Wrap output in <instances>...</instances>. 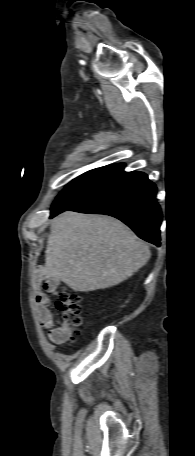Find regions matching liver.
<instances>
[{
  "instance_id": "6515ba94",
  "label": "liver",
  "mask_w": 195,
  "mask_h": 456,
  "mask_svg": "<svg viewBox=\"0 0 195 456\" xmlns=\"http://www.w3.org/2000/svg\"><path fill=\"white\" fill-rule=\"evenodd\" d=\"M149 258L148 245L121 221L67 211L53 220L42 275L88 292L129 279Z\"/></svg>"
}]
</instances>
